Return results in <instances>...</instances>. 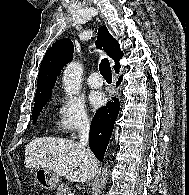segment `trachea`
Instances as JSON below:
<instances>
[{
  "mask_svg": "<svg viewBox=\"0 0 189 195\" xmlns=\"http://www.w3.org/2000/svg\"><path fill=\"white\" fill-rule=\"evenodd\" d=\"M99 70L106 81H112L111 67L109 60L107 58L101 60Z\"/></svg>",
  "mask_w": 189,
  "mask_h": 195,
  "instance_id": "3493384b",
  "label": "trachea"
}]
</instances>
